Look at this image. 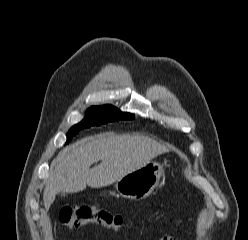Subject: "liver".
I'll return each mask as SVG.
<instances>
[{"mask_svg":"<svg viewBox=\"0 0 248 240\" xmlns=\"http://www.w3.org/2000/svg\"><path fill=\"white\" fill-rule=\"evenodd\" d=\"M168 149L143 135H111L87 137L63 149L53 160L43 201L46 211L58 193H76L111 185L146 165ZM101 160L98 166H90Z\"/></svg>","mask_w":248,"mask_h":240,"instance_id":"1","label":"liver"}]
</instances>
